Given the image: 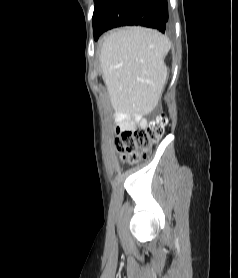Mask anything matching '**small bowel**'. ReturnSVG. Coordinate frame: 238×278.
Instances as JSON below:
<instances>
[{
  "mask_svg": "<svg viewBox=\"0 0 238 278\" xmlns=\"http://www.w3.org/2000/svg\"><path fill=\"white\" fill-rule=\"evenodd\" d=\"M116 130L118 133L136 128H144L147 121L139 113H127L120 111L115 115Z\"/></svg>",
  "mask_w": 238,
  "mask_h": 278,
  "instance_id": "small-bowel-1",
  "label": "small bowel"
}]
</instances>
